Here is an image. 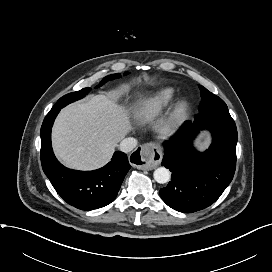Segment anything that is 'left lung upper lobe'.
Returning <instances> with one entry per match:
<instances>
[{
    "instance_id": "5c2ea615",
    "label": "left lung upper lobe",
    "mask_w": 272,
    "mask_h": 272,
    "mask_svg": "<svg viewBox=\"0 0 272 272\" xmlns=\"http://www.w3.org/2000/svg\"><path fill=\"white\" fill-rule=\"evenodd\" d=\"M202 101L199 106V113H204L217 109H228L225 102L214 95L210 91H208L203 86L199 85Z\"/></svg>"
}]
</instances>
